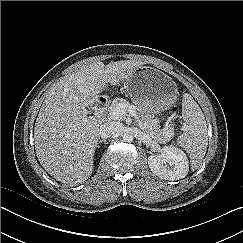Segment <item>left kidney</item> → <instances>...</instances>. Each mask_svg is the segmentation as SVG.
<instances>
[{
  "label": "left kidney",
  "instance_id": "left-kidney-1",
  "mask_svg": "<svg viewBox=\"0 0 243 243\" xmlns=\"http://www.w3.org/2000/svg\"><path fill=\"white\" fill-rule=\"evenodd\" d=\"M150 170L165 180H178L184 178L189 170L186 154L174 146H165L157 155L148 157Z\"/></svg>",
  "mask_w": 243,
  "mask_h": 243
}]
</instances>
